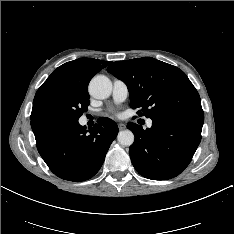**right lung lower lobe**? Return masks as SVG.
<instances>
[{
    "mask_svg": "<svg viewBox=\"0 0 234 234\" xmlns=\"http://www.w3.org/2000/svg\"><path fill=\"white\" fill-rule=\"evenodd\" d=\"M97 122L87 130L78 120L65 117L31 119L38 152L56 176L78 182L99 171L119 129L109 118Z\"/></svg>",
    "mask_w": 234,
    "mask_h": 234,
    "instance_id": "98d812e1",
    "label": "right lung lower lobe"
}]
</instances>
